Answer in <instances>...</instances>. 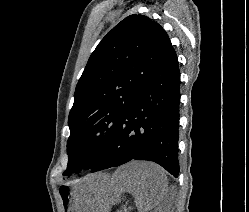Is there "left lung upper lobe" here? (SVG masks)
<instances>
[{"label":"left lung upper lobe","instance_id":"5c2ea615","mask_svg":"<svg viewBox=\"0 0 249 212\" xmlns=\"http://www.w3.org/2000/svg\"><path fill=\"white\" fill-rule=\"evenodd\" d=\"M171 47L158 23L136 14L102 39L76 86L64 176L92 169L104 157L119 119Z\"/></svg>","mask_w":249,"mask_h":212}]
</instances>
